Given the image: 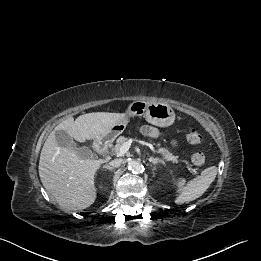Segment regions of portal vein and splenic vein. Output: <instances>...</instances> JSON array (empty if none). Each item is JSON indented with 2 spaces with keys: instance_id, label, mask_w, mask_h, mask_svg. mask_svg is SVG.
<instances>
[{
  "instance_id": "obj_1",
  "label": "portal vein and splenic vein",
  "mask_w": 261,
  "mask_h": 261,
  "mask_svg": "<svg viewBox=\"0 0 261 261\" xmlns=\"http://www.w3.org/2000/svg\"><path fill=\"white\" fill-rule=\"evenodd\" d=\"M138 143H140L141 145L147 146L149 147L153 152H155L154 147L152 144L148 143V142H144V141H138L136 140ZM133 142V139H129L127 142H125L120 149L118 150L116 156L117 157H121L124 156V154L129 150L131 143ZM194 173L196 174L197 172L194 171Z\"/></svg>"
}]
</instances>
